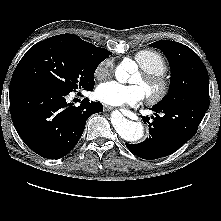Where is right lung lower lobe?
Wrapping results in <instances>:
<instances>
[{
    "mask_svg": "<svg viewBox=\"0 0 221 221\" xmlns=\"http://www.w3.org/2000/svg\"><path fill=\"white\" fill-rule=\"evenodd\" d=\"M66 95L37 82L11 79L12 121L23 142L41 157L67 155L82 136L88 117L103 111L101 103L87 98L79 107L71 106Z\"/></svg>",
    "mask_w": 221,
    "mask_h": 221,
    "instance_id": "obj_1",
    "label": "right lung lower lobe"
}]
</instances>
